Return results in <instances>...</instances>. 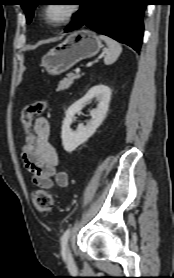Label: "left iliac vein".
Wrapping results in <instances>:
<instances>
[{"label": "left iliac vein", "instance_id": "obj_1", "mask_svg": "<svg viewBox=\"0 0 174 278\" xmlns=\"http://www.w3.org/2000/svg\"><path fill=\"white\" fill-rule=\"evenodd\" d=\"M67 263H68V265L73 264V257H72L69 247H67Z\"/></svg>", "mask_w": 174, "mask_h": 278}]
</instances>
